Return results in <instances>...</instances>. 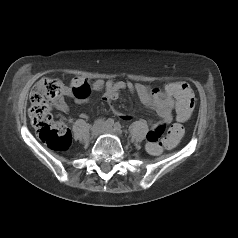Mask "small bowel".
<instances>
[{
  "instance_id": "1",
  "label": "small bowel",
  "mask_w": 238,
  "mask_h": 238,
  "mask_svg": "<svg viewBox=\"0 0 238 238\" xmlns=\"http://www.w3.org/2000/svg\"><path fill=\"white\" fill-rule=\"evenodd\" d=\"M180 85V82L170 83L163 88L150 89L141 83H132L131 81H113L96 80L89 83L82 77H76L71 81V87L65 89L64 95L74 97L77 102L87 101L91 91H105L104 97L107 102L118 98L120 92L127 90L131 94H136L140 101L155 110L159 122L152 125V128L163 126L172 120V111L177 108L175 95L171 89ZM57 109L67 113L69 106L64 98L57 103ZM83 117H85L83 115ZM123 119H129L128 116H121ZM177 118V117H176ZM178 121H183L177 118ZM185 121V120H184Z\"/></svg>"
}]
</instances>
